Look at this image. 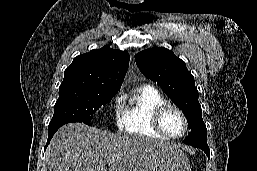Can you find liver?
<instances>
[{"label":"liver","mask_w":257,"mask_h":171,"mask_svg":"<svg viewBox=\"0 0 257 171\" xmlns=\"http://www.w3.org/2000/svg\"><path fill=\"white\" fill-rule=\"evenodd\" d=\"M177 148L149 138L112 134L82 123L62 126L47 149L48 171H135L146 152Z\"/></svg>","instance_id":"1"}]
</instances>
